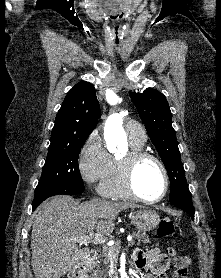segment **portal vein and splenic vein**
I'll use <instances>...</instances> for the list:
<instances>
[{
    "mask_svg": "<svg viewBox=\"0 0 221 278\" xmlns=\"http://www.w3.org/2000/svg\"><path fill=\"white\" fill-rule=\"evenodd\" d=\"M81 244H86V243H94V244H101L104 246L106 239L104 236L94 233L91 231L86 237H81L80 239L77 240ZM133 241L130 240L128 245H132ZM104 248H107L106 246ZM109 250V256H113L114 253L110 248H107Z\"/></svg>",
    "mask_w": 221,
    "mask_h": 278,
    "instance_id": "portal-vein-and-splenic-vein-1",
    "label": "portal vein and splenic vein"
}]
</instances>
